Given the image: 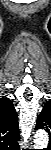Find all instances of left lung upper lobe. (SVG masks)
<instances>
[{
  "mask_svg": "<svg viewBox=\"0 0 51 150\" xmlns=\"http://www.w3.org/2000/svg\"><path fill=\"white\" fill-rule=\"evenodd\" d=\"M35 129H45L51 135V100L47 101L39 114Z\"/></svg>",
  "mask_w": 51,
  "mask_h": 150,
  "instance_id": "5c2ea615",
  "label": "left lung upper lobe"
}]
</instances>
